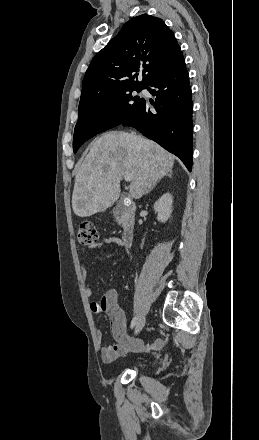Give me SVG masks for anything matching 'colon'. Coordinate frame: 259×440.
<instances>
[{
    "instance_id": "colon-1",
    "label": "colon",
    "mask_w": 259,
    "mask_h": 440,
    "mask_svg": "<svg viewBox=\"0 0 259 440\" xmlns=\"http://www.w3.org/2000/svg\"><path fill=\"white\" fill-rule=\"evenodd\" d=\"M79 242L83 245H93L98 240V232L95 225L89 221L82 222L78 231Z\"/></svg>"
}]
</instances>
